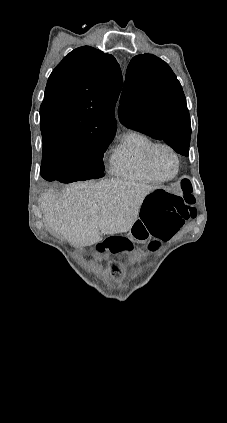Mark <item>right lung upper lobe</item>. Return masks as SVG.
<instances>
[{
    "label": "right lung upper lobe",
    "mask_w": 227,
    "mask_h": 423,
    "mask_svg": "<svg viewBox=\"0 0 227 423\" xmlns=\"http://www.w3.org/2000/svg\"><path fill=\"white\" fill-rule=\"evenodd\" d=\"M122 88L116 59L90 46L70 52L51 73L40 107L43 143L73 136H111Z\"/></svg>",
    "instance_id": "right-lung-upper-lobe-1"
}]
</instances>
